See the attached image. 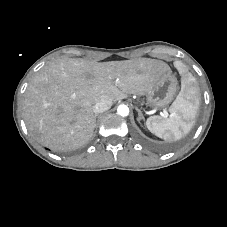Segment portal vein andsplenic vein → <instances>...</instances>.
<instances>
[{"instance_id":"portal-vein-and-splenic-vein-1","label":"portal vein and splenic vein","mask_w":227,"mask_h":227,"mask_svg":"<svg viewBox=\"0 0 227 227\" xmlns=\"http://www.w3.org/2000/svg\"><path fill=\"white\" fill-rule=\"evenodd\" d=\"M163 116H165V117H166V116H167V113H166V112H164Z\"/></svg>"}]
</instances>
